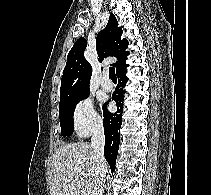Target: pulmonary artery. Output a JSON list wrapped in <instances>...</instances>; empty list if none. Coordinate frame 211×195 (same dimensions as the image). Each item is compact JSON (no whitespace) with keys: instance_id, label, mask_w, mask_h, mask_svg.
I'll return each mask as SVG.
<instances>
[{"instance_id":"obj_1","label":"pulmonary artery","mask_w":211,"mask_h":195,"mask_svg":"<svg viewBox=\"0 0 211 195\" xmlns=\"http://www.w3.org/2000/svg\"><path fill=\"white\" fill-rule=\"evenodd\" d=\"M101 85H102V88H103L105 91H111L112 88H113V83H112V81L110 80V78H109L107 72H105L104 75H103V77H102Z\"/></svg>"}]
</instances>
